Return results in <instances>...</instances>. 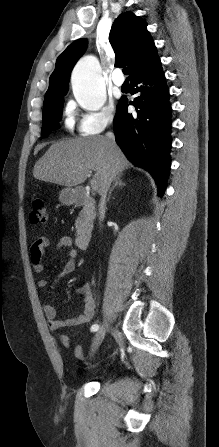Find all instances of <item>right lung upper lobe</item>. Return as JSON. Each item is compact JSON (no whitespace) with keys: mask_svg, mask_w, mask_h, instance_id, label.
<instances>
[{"mask_svg":"<svg viewBox=\"0 0 219 447\" xmlns=\"http://www.w3.org/2000/svg\"><path fill=\"white\" fill-rule=\"evenodd\" d=\"M146 27L142 18L131 12H124L116 19L110 31L109 41L115 52V66L126 64L130 68V79L159 59ZM86 45L85 39H78L59 55L44 100L67 93L71 70L84 53Z\"/></svg>","mask_w":219,"mask_h":447,"instance_id":"1","label":"right lung upper lobe"}]
</instances>
